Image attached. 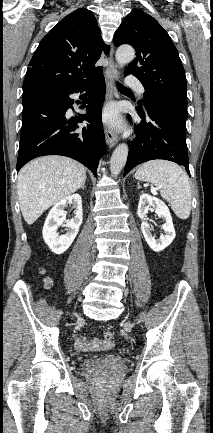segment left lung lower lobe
I'll list each match as a JSON object with an SVG mask.
<instances>
[{"label":"left lung lower lobe","mask_w":213,"mask_h":433,"mask_svg":"<svg viewBox=\"0 0 213 433\" xmlns=\"http://www.w3.org/2000/svg\"><path fill=\"white\" fill-rule=\"evenodd\" d=\"M136 109L142 121L135 127L136 139L129 142L124 176L136 165L154 159L176 162L190 175L185 134L187 114L157 104L138 105Z\"/></svg>","instance_id":"obj_1"}]
</instances>
